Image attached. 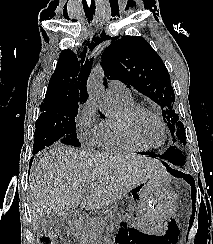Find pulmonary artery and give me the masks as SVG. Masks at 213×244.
Wrapping results in <instances>:
<instances>
[{"label": "pulmonary artery", "mask_w": 213, "mask_h": 244, "mask_svg": "<svg viewBox=\"0 0 213 244\" xmlns=\"http://www.w3.org/2000/svg\"><path fill=\"white\" fill-rule=\"evenodd\" d=\"M108 92L115 99L126 101L132 99L129 89L119 80H110L108 82Z\"/></svg>", "instance_id": "pulmonary-artery-1"}]
</instances>
